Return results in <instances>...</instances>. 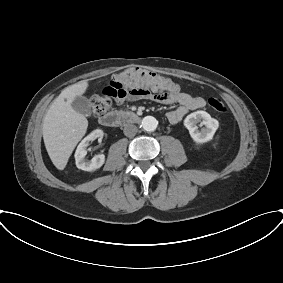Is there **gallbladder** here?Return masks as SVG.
I'll list each match as a JSON object with an SVG mask.
<instances>
[{"label": "gallbladder", "instance_id": "obj_1", "mask_svg": "<svg viewBox=\"0 0 283 283\" xmlns=\"http://www.w3.org/2000/svg\"><path fill=\"white\" fill-rule=\"evenodd\" d=\"M71 106L76 112L82 115L89 116L92 113L91 104L84 96H77Z\"/></svg>", "mask_w": 283, "mask_h": 283}]
</instances>
